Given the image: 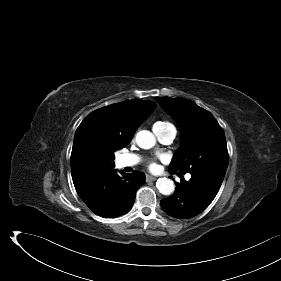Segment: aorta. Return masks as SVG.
I'll use <instances>...</instances> for the list:
<instances>
[{
	"mask_svg": "<svg viewBox=\"0 0 281 281\" xmlns=\"http://www.w3.org/2000/svg\"><path fill=\"white\" fill-rule=\"evenodd\" d=\"M137 145L142 149H150L156 143V138L148 130H141L136 134ZM156 187L163 195H170L175 190L174 182L168 178H159L156 182Z\"/></svg>",
	"mask_w": 281,
	"mask_h": 281,
	"instance_id": "obj_1",
	"label": "aorta"
}]
</instances>
